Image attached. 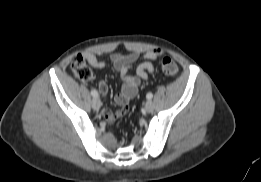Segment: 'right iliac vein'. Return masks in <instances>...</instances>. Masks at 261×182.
Here are the masks:
<instances>
[{
	"mask_svg": "<svg viewBox=\"0 0 261 182\" xmlns=\"http://www.w3.org/2000/svg\"><path fill=\"white\" fill-rule=\"evenodd\" d=\"M92 107L94 110H99L101 107V101L99 98L95 97L92 100Z\"/></svg>",
	"mask_w": 261,
	"mask_h": 182,
	"instance_id": "1",
	"label": "right iliac vein"
}]
</instances>
